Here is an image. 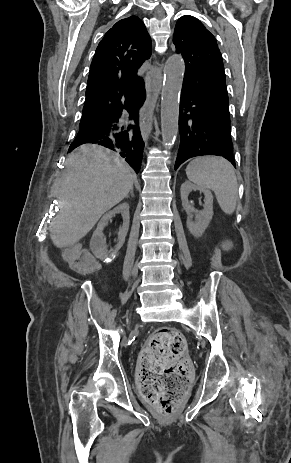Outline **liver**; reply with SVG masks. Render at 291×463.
<instances>
[{
	"label": "liver",
	"mask_w": 291,
	"mask_h": 463,
	"mask_svg": "<svg viewBox=\"0 0 291 463\" xmlns=\"http://www.w3.org/2000/svg\"><path fill=\"white\" fill-rule=\"evenodd\" d=\"M67 169L56 184L59 214L50 232L58 248L81 240L100 217L133 188L131 168L117 153L86 144L70 154Z\"/></svg>",
	"instance_id": "1"
}]
</instances>
